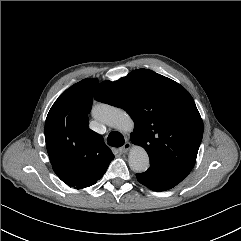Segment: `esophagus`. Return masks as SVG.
Wrapping results in <instances>:
<instances>
[{
    "label": "esophagus",
    "instance_id": "obj_1",
    "mask_svg": "<svg viewBox=\"0 0 241 241\" xmlns=\"http://www.w3.org/2000/svg\"><path fill=\"white\" fill-rule=\"evenodd\" d=\"M130 147H131V144L128 141H126L124 145L119 149V151L122 153H127Z\"/></svg>",
    "mask_w": 241,
    "mask_h": 241
}]
</instances>
